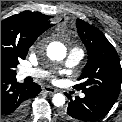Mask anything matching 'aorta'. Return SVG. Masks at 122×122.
<instances>
[{
	"label": "aorta",
	"mask_w": 122,
	"mask_h": 122,
	"mask_svg": "<svg viewBox=\"0 0 122 122\" xmlns=\"http://www.w3.org/2000/svg\"><path fill=\"white\" fill-rule=\"evenodd\" d=\"M47 56L53 61L63 60L66 56V47L60 42H52L47 47ZM65 101V96L60 93L55 94L52 98V103L56 107L63 106Z\"/></svg>",
	"instance_id": "1"
}]
</instances>
